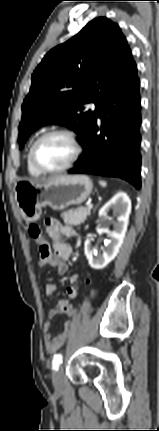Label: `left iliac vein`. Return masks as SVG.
Instances as JSON below:
<instances>
[{
  "mask_svg": "<svg viewBox=\"0 0 159 431\" xmlns=\"http://www.w3.org/2000/svg\"><path fill=\"white\" fill-rule=\"evenodd\" d=\"M64 382V370L63 366H59L57 370L53 373V386L56 391H61Z\"/></svg>",
  "mask_w": 159,
  "mask_h": 431,
  "instance_id": "obj_1",
  "label": "left iliac vein"
}]
</instances>
